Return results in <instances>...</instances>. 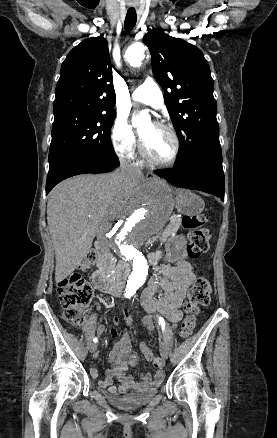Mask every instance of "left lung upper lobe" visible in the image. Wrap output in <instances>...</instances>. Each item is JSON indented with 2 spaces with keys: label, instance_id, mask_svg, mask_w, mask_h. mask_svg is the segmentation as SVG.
Listing matches in <instances>:
<instances>
[{
  "label": "left lung upper lobe",
  "instance_id": "obj_1",
  "mask_svg": "<svg viewBox=\"0 0 277 438\" xmlns=\"http://www.w3.org/2000/svg\"><path fill=\"white\" fill-rule=\"evenodd\" d=\"M143 42L151 53L152 70L165 91L164 100L181 143L177 167L220 152L214 82L208 62L196 46L149 30Z\"/></svg>",
  "mask_w": 277,
  "mask_h": 438
}]
</instances>
